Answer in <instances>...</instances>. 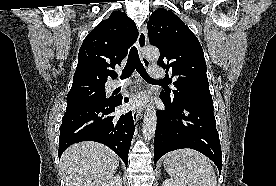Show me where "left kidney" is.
Returning a JSON list of instances; mask_svg holds the SVG:
<instances>
[{"label":"left kidney","mask_w":276,"mask_h":186,"mask_svg":"<svg viewBox=\"0 0 276 186\" xmlns=\"http://www.w3.org/2000/svg\"><path fill=\"white\" fill-rule=\"evenodd\" d=\"M162 186H186L184 183L176 181L174 179H166Z\"/></svg>","instance_id":"obj_1"}]
</instances>
